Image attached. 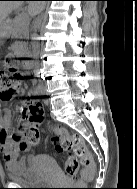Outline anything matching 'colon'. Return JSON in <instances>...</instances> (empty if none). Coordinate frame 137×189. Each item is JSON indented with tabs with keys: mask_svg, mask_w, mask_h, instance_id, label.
I'll use <instances>...</instances> for the list:
<instances>
[{
	"mask_svg": "<svg viewBox=\"0 0 137 189\" xmlns=\"http://www.w3.org/2000/svg\"><path fill=\"white\" fill-rule=\"evenodd\" d=\"M21 77L18 69L9 65L7 69H0V99L10 100L16 93L15 82ZM27 125L16 135L26 146H36L40 141L39 126L43 121L44 108L41 103H34L24 107ZM49 132L55 143L56 150L70 153L64 164V173L68 177H75L79 165L84 166L82 177L90 180L95 175V164L90 151L79 135H71L62 126H51Z\"/></svg>",
	"mask_w": 137,
	"mask_h": 189,
	"instance_id": "colon-1",
	"label": "colon"
}]
</instances>
